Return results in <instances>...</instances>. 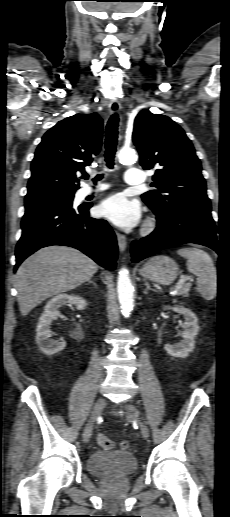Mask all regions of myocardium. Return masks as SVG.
<instances>
[{"label":"myocardium","instance_id":"f54148a6","mask_svg":"<svg viewBox=\"0 0 230 517\" xmlns=\"http://www.w3.org/2000/svg\"><path fill=\"white\" fill-rule=\"evenodd\" d=\"M155 225L156 221L153 218H149L144 224V232L150 233L155 228Z\"/></svg>","mask_w":230,"mask_h":517}]
</instances>
